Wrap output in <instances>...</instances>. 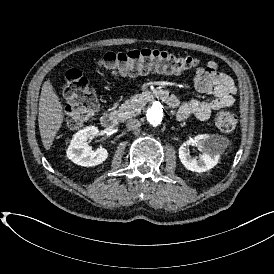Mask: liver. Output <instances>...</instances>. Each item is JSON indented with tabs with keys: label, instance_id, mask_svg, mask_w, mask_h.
I'll return each instance as SVG.
<instances>
[{
	"label": "liver",
	"instance_id": "6515ba94",
	"mask_svg": "<svg viewBox=\"0 0 274 274\" xmlns=\"http://www.w3.org/2000/svg\"><path fill=\"white\" fill-rule=\"evenodd\" d=\"M63 107L50 81L44 82L40 99L38 124L43 146L51 148L54 138L63 122Z\"/></svg>",
	"mask_w": 274,
	"mask_h": 274
}]
</instances>
